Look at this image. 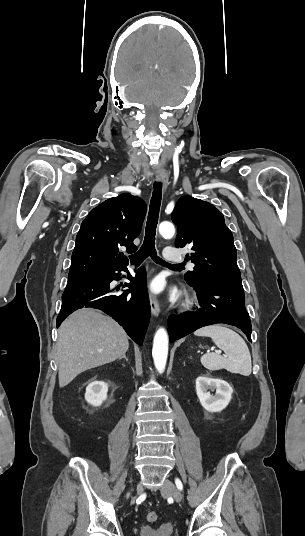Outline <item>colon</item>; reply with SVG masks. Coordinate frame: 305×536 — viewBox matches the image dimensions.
<instances>
[{
    "mask_svg": "<svg viewBox=\"0 0 305 536\" xmlns=\"http://www.w3.org/2000/svg\"><path fill=\"white\" fill-rule=\"evenodd\" d=\"M147 520H148L149 522H155V521H157V520H158V514H157L156 512H154V511L149 512V513L147 514Z\"/></svg>",
    "mask_w": 305,
    "mask_h": 536,
    "instance_id": "colon-1",
    "label": "colon"
}]
</instances>
